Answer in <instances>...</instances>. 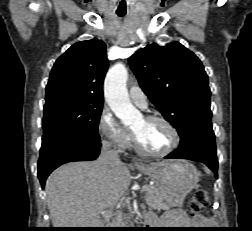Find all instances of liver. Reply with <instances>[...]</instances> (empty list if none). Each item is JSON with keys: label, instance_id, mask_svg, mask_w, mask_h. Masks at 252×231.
Returning <instances> with one entry per match:
<instances>
[{"label": "liver", "instance_id": "6515ba94", "mask_svg": "<svg viewBox=\"0 0 252 231\" xmlns=\"http://www.w3.org/2000/svg\"><path fill=\"white\" fill-rule=\"evenodd\" d=\"M152 163L151 165H159ZM131 183L128 168L99 162H72L47 179V204L54 228H102Z\"/></svg>", "mask_w": 252, "mask_h": 231}]
</instances>
